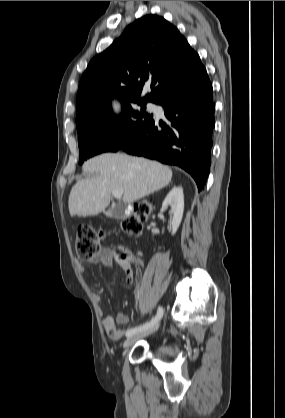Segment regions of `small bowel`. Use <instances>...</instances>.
Returning <instances> with one entry per match:
<instances>
[{
    "label": "small bowel",
    "mask_w": 285,
    "mask_h": 418,
    "mask_svg": "<svg viewBox=\"0 0 285 418\" xmlns=\"http://www.w3.org/2000/svg\"><path fill=\"white\" fill-rule=\"evenodd\" d=\"M137 259L140 263L141 261ZM94 264L101 263L108 268H113L115 265L120 267L125 275V281L128 284L133 282V268L125 260L119 257L118 252L110 248H100L90 260ZM78 272L83 274L86 271L84 265L77 264ZM98 299V296L95 295ZM128 323V317L124 312H118L115 320L112 316L107 315L103 318L102 324L107 336L113 341H119L124 335V331L119 327Z\"/></svg>",
    "instance_id": "obj_1"
}]
</instances>
